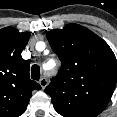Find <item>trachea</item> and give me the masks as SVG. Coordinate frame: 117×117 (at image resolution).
I'll list each match as a JSON object with an SVG mask.
<instances>
[{
  "label": "trachea",
  "instance_id": "obj_1",
  "mask_svg": "<svg viewBox=\"0 0 117 117\" xmlns=\"http://www.w3.org/2000/svg\"><path fill=\"white\" fill-rule=\"evenodd\" d=\"M31 78L33 80H39L40 79V67L37 64H34L31 67Z\"/></svg>",
  "mask_w": 117,
  "mask_h": 117
}]
</instances>
